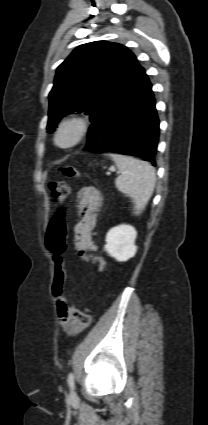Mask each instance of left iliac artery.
<instances>
[{
    "label": "left iliac artery",
    "mask_w": 208,
    "mask_h": 425,
    "mask_svg": "<svg viewBox=\"0 0 208 425\" xmlns=\"http://www.w3.org/2000/svg\"><path fill=\"white\" fill-rule=\"evenodd\" d=\"M67 382H68L69 387H70L71 389H73V388H74V375H73V373H72V372H70V373L68 374Z\"/></svg>",
    "instance_id": "left-iliac-artery-1"
}]
</instances>
